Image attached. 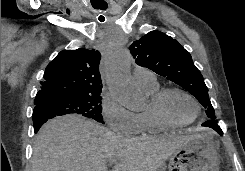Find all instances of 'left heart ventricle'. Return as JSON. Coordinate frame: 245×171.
Returning a JSON list of instances; mask_svg holds the SVG:
<instances>
[{"label": "left heart ventricle", "instance_id": "left-heart-ventricle-1", "mask_svg": "<svg viewBox=\"0 0 245 171\" xmlns=\"http://www.w3.org/2000/svg\"><path fill=\"white\" fill-rule=\"evenodd\" d=\"M166 116L175 123L190 121L195 115V107L192 102L180 93H170L163 103Z\"/></svg>", "mask_w": 245, "mask_h": 171}]
</instances>
